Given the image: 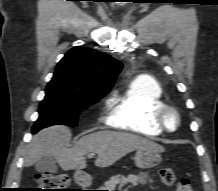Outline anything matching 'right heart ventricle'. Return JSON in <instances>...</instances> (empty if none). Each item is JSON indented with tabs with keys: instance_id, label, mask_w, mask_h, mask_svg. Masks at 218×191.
Returning <instances> with one entry per match:
<instances>
[{
	"instance_id": "1",
	"label": "right heart ventricle",
	"mask_w": 218,
	"mask_h": 191,
	"mask_svg": "<svg viewBox=\"0 0 218 191\" xmlns=\"http://www.w3.org/2000/svg\"><path fill=\"white\" fill-rule=\"evenodd\" d=\"M163 105V91L159 83L152 78H139L113 99L107 122L120 130L156 137L163 130L157 124L155 114Z\"/></svg>"
}]
</instances>
